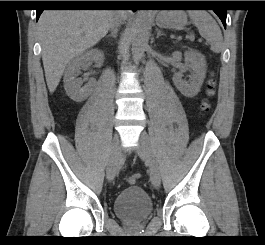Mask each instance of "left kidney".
Returning a JSON list of instances; mask_svg holds the SVG:
<instances>
[{
    "mask_svg": "<svg viewBox=\"0 0 265 245\" xmlns=\"http://www.w3.org/2000/svg\"><path fill=\"white\" fill-rule=\"evenodd\" d=\"M185 62L192 70L189 81L182 79L183 70L177 72L173 76V82L176 88L186 97L192 98L200 92V88L206 76V60L204 55L197 51H187L185 54Z\"/></svg>",
    "mask_w": 265,
    "mask_h": 245,
    "instance_id": "obj_1",
    "label": "left kidney"
}]
</instances>
